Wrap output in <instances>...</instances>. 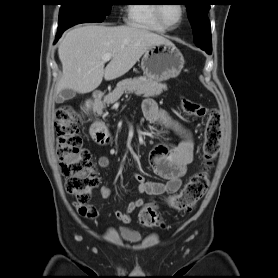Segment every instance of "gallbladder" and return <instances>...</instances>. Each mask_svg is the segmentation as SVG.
<instances>
[{
    "mask_svg": "<svg viewBox=\"0 0 278 278\" xmlns=\"http://www.w3.org/2000/svg\"><path fill=\"white\" fill-rule=\"evenodd\" d=\"M76 96V92L71 89H63L57 96L56 102L63 103L65 101L71 100Z\"/></svg>",
    "mask_w": 278,
    "mask_h": 278,
    "instance_id": "1",
    "label": "gallbladder"
}]
</instances>
